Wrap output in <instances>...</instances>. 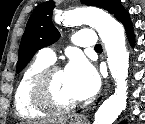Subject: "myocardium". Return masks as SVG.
Instances as JSON below:
<instances>
[{
    "mask_svg": "<svg viewBox=\"0 0 145 124\" xmlns=\"http://www.w3.org/2000/svg\"><path fill=\"white\" fill-rule=\"evenodd\" d=\"M62 71L57 65H49L36 77L31 88V100L38 109L52 113H65L78 106V102L61 103L52 91V79L56 72Z\"/></svg>",
    "mask_w": 145,
    "mask_h": 124,
    "instance_id": "myocardium-1",
    "label": "myocardium"
}]
</instances>
